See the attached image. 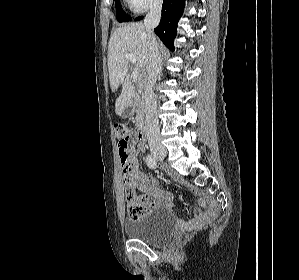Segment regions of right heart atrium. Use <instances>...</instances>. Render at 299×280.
I'll use <instances>...</instances> for the list:
<instances>
[{
  "mask_svg": "<svg viewBox=\"0 0 299 280\" xmlns=\"http://www.w3.org/2000/svg\"><path fill=\"white\" fill-rule=\"evenodd\" d=\"M129 6L137 13H143L153 7L159 6L162 0H127Z\"/></svg>",
  "mask_w": 299,
  "mask_h": 280,
  "instance_id": "obj_1",
  "label": "right heart atrium"
}]
</instances>
